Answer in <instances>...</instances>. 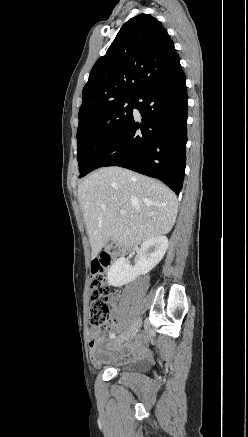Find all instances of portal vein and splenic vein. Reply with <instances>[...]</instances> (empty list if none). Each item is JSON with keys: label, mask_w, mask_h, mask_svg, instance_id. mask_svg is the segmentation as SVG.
I'll return each instance as SVG.
<instances>
[{"label": "portal vein and splenic vein", "mask_w": 248, "mask_h": 437, "mask_svg": "<svg viewBox=\"0 0 248 437\" xmlns=\"http://www.w3.org/2000/svg\"><path fill=\"white\" fill-rule=\"evenodd\" d=\"M120 214L125 215L126 214L125 210H120Z\"/></svg>", "instance_id": "obj_1"}]
</instances>
